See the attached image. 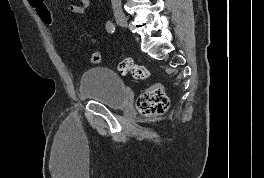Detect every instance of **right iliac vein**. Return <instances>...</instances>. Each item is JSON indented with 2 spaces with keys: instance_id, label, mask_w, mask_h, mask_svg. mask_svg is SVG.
I'll list each match as a JSON object with an SVG mask.
<instances>
[{
  "instance_id": "obj_1",
  "label": "right iliac vein",
  "mask_w": 264,
  "mask_h": 178,
  "mask_svg": "<svg viewBox=\"0 0 264 178\" xmlns=\"http://www.w3.org/2000/svg\"><path fill=\"white\" fill-rule=\"evenodd\" d=\"M115 20L121 26L122 28L127 27V19L124 14L122 13H116L115 14Z\"/></svg>"
}]
</instances>
